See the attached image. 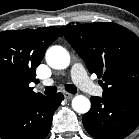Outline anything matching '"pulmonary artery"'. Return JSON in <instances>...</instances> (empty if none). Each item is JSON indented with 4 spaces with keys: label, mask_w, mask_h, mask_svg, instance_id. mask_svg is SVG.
Here are the masks:
<instances>
[{
    "label": "pulmonary artery",
    "mask_w": 139,
    "mask_h": 139,
    "mask_svg": "<svg viewBox=\"0 0 139 139\" xmlns=\"http://www.w3.org/2000/svg\"><path fill=\"white\" fill-rule=\"evenodd\" d=\"M71 76L76 85L86 93L94 96H102L103 89L93 83L86 74L84 67L81 64H74L71 69ZM52 79L44 81V85H51Z\"/></svg>",
    "instance_id": "e3ab8cb5"
}]
</instances>
